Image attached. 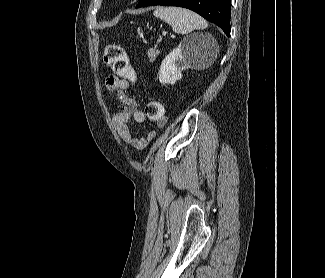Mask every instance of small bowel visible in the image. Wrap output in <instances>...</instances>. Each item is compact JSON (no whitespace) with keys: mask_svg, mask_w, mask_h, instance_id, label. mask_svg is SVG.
Wrapping results in <instances>:
<instances>
[{"mask_svg":"<svg viewBox=\"0 0 325 278\" xmlns=\"http://www.w3.org/2000/svg\"><path fill=\"white\" fill-rule=\"evenodd\" d=\"M129 81L117 76H109L106 79V89L110 95L116 94L121 103L120 110L115 114L113 122L123 141L134 150L141 151L154 138V133L149 132L143 136H135L129 126L132 119L143 122L145 114L138 107L135 99L127 95ZM163 124V122L161 123Z\"/></svg>","mask_w":325,"mask_h":278,"instance_id":"1","label":"small bowel"}]
</instances>
